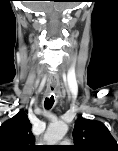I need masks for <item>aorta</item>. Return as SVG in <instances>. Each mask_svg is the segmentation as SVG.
Wrapping results in <instances>:
<instances>
[{
    "label": "aorta",
    "mask_w": 118,
    "mask_h": 151,
    "mask_svg": "<svg viewBox=\"0 0 118 151\" xmlns=\"http://www.w3.org/2000/svg\"><path fill=\"white\" fill-rule=\"evenodd\" d=\"M67 131L68 125L66 123L62 121L51 123L44 134V140L47 145H56L63 139Z\"/></svg>",
    "instance_id": "aorta-1"
}]
</instances>
